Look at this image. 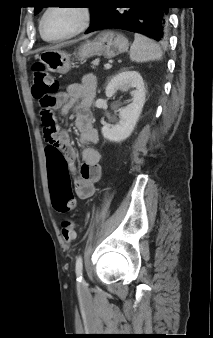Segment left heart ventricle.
Here are the masks:
<instances>
[{"mask_svg": "<svg viewBox=\"0 0 213 338\" xmlns=\"http://www.w3.org/2000/svg\"><path fill=\"white\" fill-rule=\"evenodd\" d=\"M81 22L79 10L69 7L53 9L45 18L43 33L47 38H58L74 31Z\"/></svg>", "mask_w": 213, "mask_h": 338, "instance_id": "obj_1", "label": "left heart ventricle"}]
</instances>
